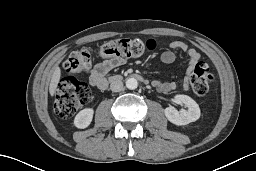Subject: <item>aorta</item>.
Listing matches in <instances>:
<instances>
[{
  "label": "aorta",
  "mask_w": 256,
  "mask_h": 171,
  "mask_svg": "<svg viewBox=\"0 0 256 171\" xmlns=\"http://www.w3.org/2000/svg\"><path fill=\"white\" fill-rule=\"evenodd\" d=\"M138 86V82L135 78H129L126 80V87L130 90L136 89Z\"/></svg>",
  "instance_id": "762f6f07"
}]
</instances>
